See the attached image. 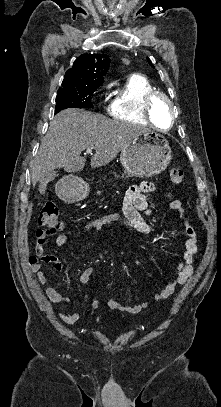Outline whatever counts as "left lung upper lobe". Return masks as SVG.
Segmentation results:
<instances>
[{
    "mask_svg": "<svg viewBox=\"0 0 221 407\" xmlns=\"http://www.w3.org/2000/svg\"><path fill=\"white\" fill-rule=\"evenodd\" d=\"M147 60H148L149 64H151V66L154 67L148 57H147Z\"/></svg>",
    "mask_w": 221,
    "mask_h": 407,
    "instance_id": "1",
    "label": "left lung upper lobe"
}]
</instances>
